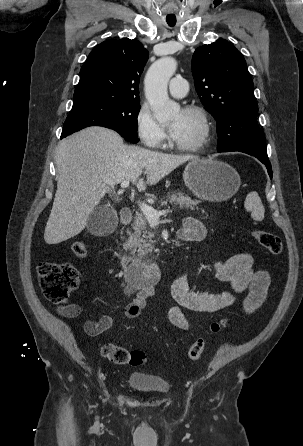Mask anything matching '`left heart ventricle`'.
Returning a JSON list of instances; mask_svg holds the SVG:
<instances>
[{
    "mask_svg": "<svg viewBox=\"0 0 303 446\" xmlns=\"http://www.w3.org/2000/svg\"><path fill=\"white\" fill-rule=\"evenodd\" d=\"M174 122L179 123L178 133L173 137L176 142L180 144H192L199 139L203 126L201 119L196 114L178 111L171 117L169 125Z\"/></svg>",
    "mask_w": 303,
    "mask_h": 446,
    "instance_id": "1",
    "label": "left heart ventricle"
}]
</instances>
